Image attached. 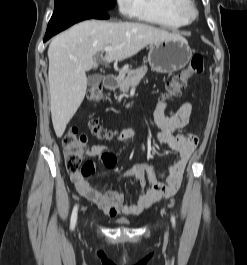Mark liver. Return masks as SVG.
Listing matches in <instances>:
<instances>
[{"mask_svg":"<svg viewBox=\"0 0 247 265\" xmlns=\"http://www.w3.org/2000/svg\"><path fill=\"white\" fill-rule=\"evenodd\" d=\"M182 38L178 34L143 23L80 22L54 37L48 48L49 93L52 123L57 137L80 107L87 89L86 71L98 66L96 55L106 46L119 47L106 52L105 62L122 61L144 47L160 41Z\"/></svg>","mask_w":247,"mask_h":265,"instance_id":"obj_1","label":"liver"}]
</instances>
